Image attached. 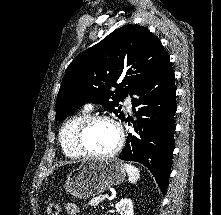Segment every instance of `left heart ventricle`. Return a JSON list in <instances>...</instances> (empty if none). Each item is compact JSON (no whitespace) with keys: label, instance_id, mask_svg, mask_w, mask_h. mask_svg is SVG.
I'll return each mask as SVG.
<instances>
[{"label":"left heart ventricle","instance_id":"obj_1","mask_svg":"<svg viewBox=\"0 0 221 215\" xmlns=\"http://www.w3.org/2000/svg\"><path fill=\"white\" fill-rule=\"evenodd\" d=\"M88 150L94 153H105L111 150L117 142L114 126L107 121L94 123L84 138Z\"/></svg>","mask_w":221,"mask_h":215}]
</instances>
